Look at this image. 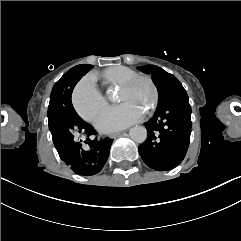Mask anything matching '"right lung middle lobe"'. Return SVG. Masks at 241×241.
I'll return each mask as SVG.
<instances>
[{
  "mask_svg": "<svg viewBox=\"0 0 241 241\" xmlns=\"http://www.w3.org/2000/svg\"><path fill=\"white\" fill-rule=\"evenodd\" d=\"M78 66L66 72L55 83L52 89L48 107V120L53 141L64 125H68L73 120L80 119L71 102V93L73 90L70 87L72 76L79 68Z\"/></svg>",
  "mask_w": 241,
  "mask_h": 241,
  "instance_id": "right-lung-middle-lobe-1",
  "label": "right lung middle lobe"
}]
</instances>
